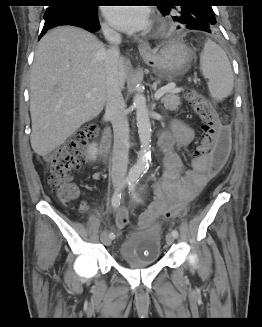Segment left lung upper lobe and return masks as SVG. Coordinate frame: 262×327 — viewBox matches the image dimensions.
<instances>
[{
	"label": "left lung upper lobe",
	"mask_w": 262,
	"mask_h": 327,
	"mask_svg": "<svg viewBox=\"0 0 262 327\" xmlns=\"http://www.w3.org/2000/svg\"><path fill=\"white\" fill-rule=\"evenodd\" d=\"M179 2H186L181 0ZM163 16L169 17L174 23L178 24L177 29H193L205 32H214L216 19L211 6H194L184 4L183 6H158Z\"/></svg>",
	"instance_id": "1"
}]
</instances>
